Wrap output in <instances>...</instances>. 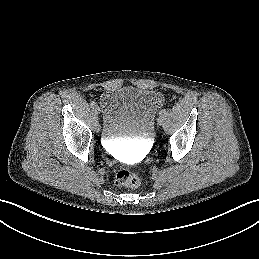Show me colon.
<instances>
[{
  "label": "colon",
  "mask_w": 259,
  "mask_h": 259,
  "mask_svg": "<svg viewBox=\"0 0 259 259\" xmlns=\"http://www.w3.org/2000/svg\"><path fill=\"white\" fill-rule=\"evenodd\" d=\"M115 183L121 187L135 188L141 183L140 175L130 169H120L115 176Z\"/></svg>",
  "instance_id": "colon-1"
}]
</instances>
